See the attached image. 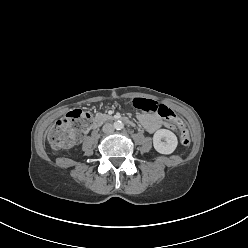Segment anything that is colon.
<instances>
[{
    "mask_svg": "<svg viewBox=\"0 0 248 248\" xmlns=\"http://www.w3.org/2000/svg\"><path fill=\"white\" fill-rule=\"evenodd\" d=\"M132 105L145 112L157 113L166 120L175 123L179 129L181 143L183 145L190 143L189 131L168 106L144 98H134ZM89 118L90 114L81 109H75L65 114L48 132V140L52 147L61 149L80 140L88 126Z\"/></svg>",
    "mask_w": 248,
    "mask_h": 248,
    "instance_id": "colon-1",
    "label": "colon"
}]
</instances>
